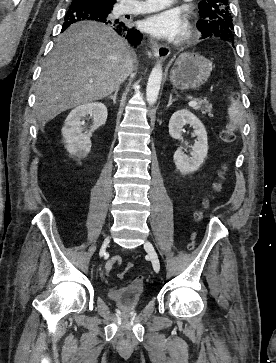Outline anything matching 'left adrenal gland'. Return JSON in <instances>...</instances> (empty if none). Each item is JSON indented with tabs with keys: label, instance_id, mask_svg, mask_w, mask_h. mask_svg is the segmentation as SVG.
I'll return each mask as SVG.
<instances>
[{
	"label": "left adrenal gland",
	"instance_id": "1",
	"mask_svg": "<svg viewBox=\"0 0 276 363\" xmlns=\"http://www.w3.org/2000/svg\"><path fill=\"white\" fill-rule=\"evenodd\" d=\"M174 101H176V99H173V98H172V94H170L169 102H168L167 108H169V107L172 105V103H173Z\"/></svg>",
	"mask_w": 276,
	"mask_h": 363
}]
</instances>
